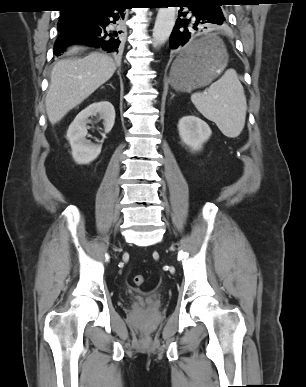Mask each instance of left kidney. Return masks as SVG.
<instances>
[{"instance_id": "obj_1", "label": "left kidney", "mask_w": 306, "mask_h": 387, "mask_svg": "<svg viewBox=\"0 0 306 387\" xmlns=\"http://www.w3.org/2000/svg\"><path fill=\"white\" fill-rule=\"evenodd\" d=\"M178 131L183 143L192 151H199L212 134L209 125L202 119L187 115L182 117L178 123Z\"/></svg>"}]
</instances>
